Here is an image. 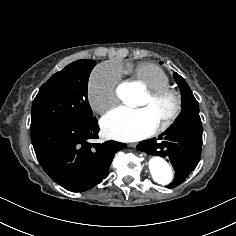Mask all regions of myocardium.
I'll return each mask as SVG.
<instances>
[{
    "label": "myocardium",
    "mask_w": 236,
    "mask_h": 236,
    "mask_svg": "<svg viewBox=\"0 0 236 236\" xmlns=\"http://www.w3.org/2000/svg\"><path fill=\"white\" fill-rule=\"evenodd\" d=\"M147 96L151 104L159 103L163 100H170L172 107L165 121L154 128V133H163L169 130L179 119L183 112V98L181 94L172 87L165 86L152 91H147Z\"/></svg>",
    "instance_id": "obj_1"
}]
</instances>
